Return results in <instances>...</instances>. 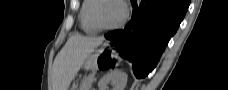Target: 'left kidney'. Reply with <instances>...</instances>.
Instances as JSON below:
<instances>
[{
	"label": "left kidney",
	"mask_w": 228,
	"mask_h": 90,
	"mask_svg": "<svg viewBox=\"0 0 228 90\" xmlns=\"http://www.w3.org/2000/svg\"><path fill=\"white\" fill-rule=\"evenodd\" d=\"M128 76L125 72L116 70L106 74L98 83L99 90H106L108 83H112L113 90H124L127 84Z\"/></svg>",
	"instance_id": "5707ae66"
}]
</instances>
